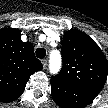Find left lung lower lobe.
I'll return each instance as SVG.
<instances>
[{"label":"left lung lower lobe","instance_id":"left-lung-lower-lobe-1","mask_svg":"<svg viewBox=\"0 0 108 108\" xmlns=\"http://www.w3.org/2000/svg\"><path fill=\"white\" fill-rule=\"evenodd\" d=\"M101 91L97 87L79 86L59 79H51L52 98L62 108H83Z\"/></svg>","mask_w":108,"mask_h":108}]
</instances>
